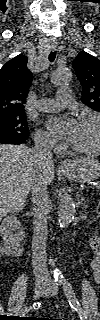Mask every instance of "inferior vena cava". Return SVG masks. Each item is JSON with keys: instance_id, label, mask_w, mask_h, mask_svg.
<instances>
[{"instance_id": "inferior-vena-cava-1", "label": "inferior vena cava", "mask_w": 100, "mask_h": 320, "mask_svg": "<svg viewBox=\"0 0 100 320\" xmlns=\"http://www.w3.org/2000/svg\"><path fill=\"white\" fill-rule=\"evenodd\" d=\"M33 154L43 162L52 161L51 147L47 139H37ZM33 214H34V235L32 240L33 249V271L37 282L49 280L47 268L46 241H47V215L50 212L52 203L49 198L47 183L42 175H38L31 185Z\"/></svg>"}]
</instances>
